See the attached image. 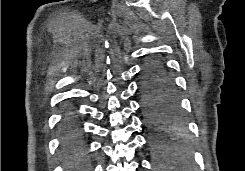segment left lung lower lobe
Wrapping results in <instances>:
<instances>
[{
	"instance_id": "obj_1",
	"label": "left lung lower lobe",
	"mask_w": 245,
	"mask_h": 171,
	"mask_svg": "<svg viewBox=\"0 0 245 171\" xmlns=\"http://www.w3.org/2000/svg\"><path fill=\"white\" fill-rule=\"evenodd\" d=\"M144 66L141 89L147 123L156 129L177 128L181 113L174 77L165 63L158 58L144 61ZM150 144L157 155L181 156L180 150L173 148L165 138L152 136ZM185 161V157H158L160 167H179V162Z\"/></svg>"
}]
</instances>
